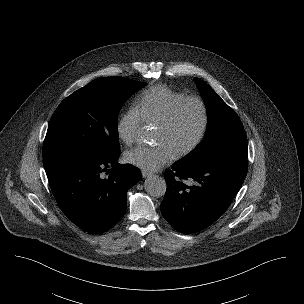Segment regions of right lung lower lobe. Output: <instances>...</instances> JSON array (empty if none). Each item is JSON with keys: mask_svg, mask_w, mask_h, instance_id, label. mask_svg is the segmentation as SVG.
Segmentation results:
<instances>
[{"mask_svg": "<svg viewBox=\"0 0 304 304\" xmlns=\"http://www.w3.org/2000/svg\"><path fill=\"white\" fill-rule=\"evenodd\" d=\"M119 155H69L43 161L60 209L87 232L99 234L116 225L124 216L128 189L142 178L136 167L117 163Z\"/></svg>", "mask_w": 304, "mask_h": 304, "instance_id": "1", "label": "right lung lower lobe"}]
</instances>
